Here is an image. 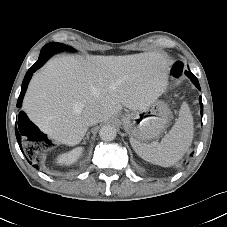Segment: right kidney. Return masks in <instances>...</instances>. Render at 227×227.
Segmentation results:
<instances>
[{"label": "right kidney", "instance_id": "1", "mask_svg": "<svg viewBox=\"0 0 227 227\" xmlns=\"http://www.w3.org/2000/svg\"><path fill=\"white\" fill-rule=\"evenodd\" d=\"M83 149L82 148H75L72 151L68 152V153H64L62 155H60L57 159V162L61 165L65 164V165H71L74 162L77 161V159L80 157V155L82 154Z\"/></svg>", "mask_w": 227, "mask_h": 227}]
</instances>
